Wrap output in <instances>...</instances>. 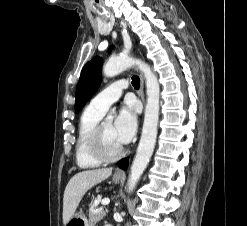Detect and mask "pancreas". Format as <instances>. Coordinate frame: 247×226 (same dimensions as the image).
Listing matches in <instances>:
<instances>
[{
    "instance_id": "pancreas-1",
    "label": "pancreas",
    "mask_w": 247,
    "mask_h": 226,
    "mask_svg": "<svg viewBox=\"0 0 247 226\" xmlns=\"http://www.w3.org/2000/svg\"><path fill=\"white\" fill-rule=\"evenodd\" d=\"M100 200L94 202L89 210V221L92 224L97 223L98 221L102 220L103 217L106 216L108 210H103L102 208H98Z\"/></svg>"
}]
</instances>
